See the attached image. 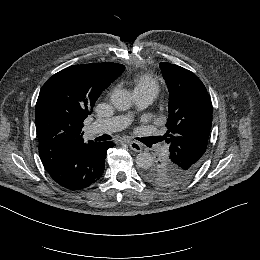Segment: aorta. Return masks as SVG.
Wrapping results in <instances>:
<instances>
[{
	"label": "aorta",
	"instance_id": "obj_1",
	"mask_svg": "<svg viewBox=\"0 0 260 260\" xmlns=\"http://www.w3.org/2000/svg\"><path fill=\"white\" fill-rule=\"evenodd\" d=\"M111 103L119 111L128 110L132 105V97L127 90L116 89L110 97ZM136 164L141 169H147L153 165V156L151 153L144 151L136 156Z\"/></svg>",
	"mask_w": 260,
	"mask_h": 260
}]
</instances>
